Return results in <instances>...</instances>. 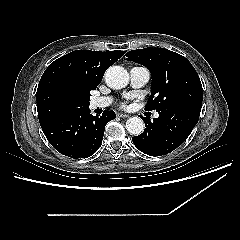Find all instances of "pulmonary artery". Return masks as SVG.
<instances>
[{
	"label": "pulmonary artery",
	"instance_id": "1",
	"mask_svg": "<svg viewBox=\"0 0 240 240\" xmlns=\"http://www.w3.org/2000/svg\"><path fill=\"white\" fill-rule=\"evenodd\" d=\"M150 78V73L145 67L135 66L130 70V85L133 88H141L147 84ZM112 97H96L91 101L93 108H104L111 105ZM159 114L156 112L154 117L157 118Z\"/></svg>",
	"mask_w": 240,
	"mask_h": 240
}]
</instances>
